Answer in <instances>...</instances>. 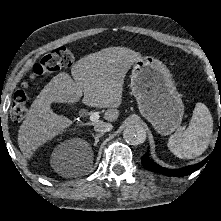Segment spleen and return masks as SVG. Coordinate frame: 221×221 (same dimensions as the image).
<instances>
[{
    "label": "spleen",
    "mask_w": 221,
    "mask_h": 221,
    "mask_svg": "<svg viewBox=\"0 0 221 221\" xmlns=\"http://www.w3.org/2000/svg\"><path fill=\"white\" fill-rule=\"evenodd\" d=\"M213 132V118L204 103L198 102L188 128L176 132L168 141V149L178 158L193 159L208 147Z\"/></svg>",
    "instance_id": "obj_1"
}]
</instances>
